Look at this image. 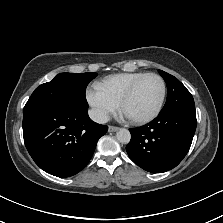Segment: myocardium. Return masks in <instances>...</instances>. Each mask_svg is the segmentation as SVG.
Returning a JSON list of instances; mask_svg holds the SVG:
<instances>
[{
	"label": "myocardium",
	"instance_id": "1",
	"mask_svg": "<svg viewBox=\"0 0 223 223\" xmlns=\"http://www.w3.org/2000/svg\"><path fill=\"white\" fill-rule=\"evenodd\" d=\"M148 77H155L160 81L161 95H160L159 102H158L156 108L154 109V111L151 114H149L148 116H145L142 118H133V117L126 116L131 122L138 123V124L148 123V122L154 120L162 110V107H163V104L165 101V97H166V84L160 75H158L156 73H147L144 76H142L141 78H139L118 101L120 112H121V108L124 106V104L132 97V95L135 93V91L140 86V84Z\"/></svg>",
	"mask_w": 223,
	"mask_h": 223
}]
</instances>
